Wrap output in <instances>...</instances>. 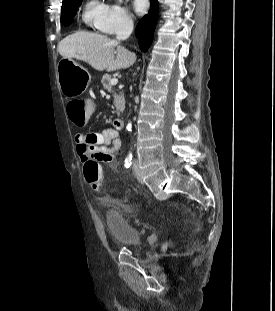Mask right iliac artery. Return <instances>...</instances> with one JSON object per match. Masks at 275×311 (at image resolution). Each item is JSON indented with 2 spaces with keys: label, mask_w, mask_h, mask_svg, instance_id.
<instances>
[{
  "label": "right iliac artery",
  "mask_w": 275,
  "mask_h": 311,
  "mask_svg": "<svg viewBox=\"0 0 275 311\" xmlns=\"http://www.w3.org/2000/svg\"><path fill=\"white\" fill-rule=\"evenodd\" d=\"M132 164V154H129L125 160V167L129 168Z\"/></svg>",
  "instance_id": "obj_1"
}]
</instances>
